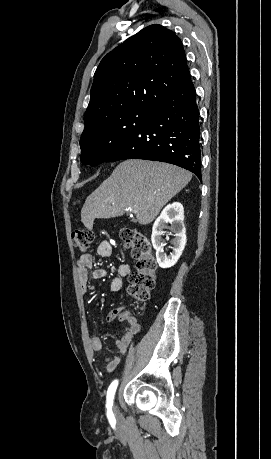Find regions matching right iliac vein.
<instances>
[{
    "label": "right iliac vein",
    "instance_id": "obj_1",
    "mask_svg": "<svg viewBox=\"0 0 271 459\" xmlns=\"http://www.w3.org/2000/svg\"><path fill=\"white\" fill-rule=\"evenodd\" d=\"M112 413H113V415L116 416L117 419L119 418L120 413H119V410H118V407H117L116 403L113 404Z\"/></svg>",
    "mask_w": 271,
    "mask_h": 459
}]
</instances>
